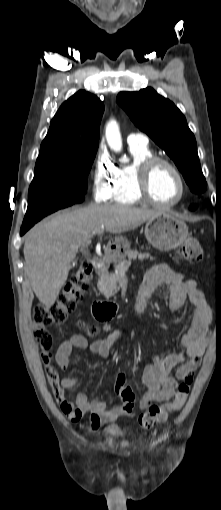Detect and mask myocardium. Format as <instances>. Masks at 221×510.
Masks as SVG:
<instances>
[{
	"mask_svg": "<svg viewBox=\"0 0 221 510\" xmlns=\"http://www.w3.org/2000/svg\"><path fill=\"white\" fill-rule=\"evenodd\" d=\"M159 165H166L167 167H169L177 176L180 184V194L178 198L169 203L158 202L151 195L150 191L151 175L155 168L158 167ZM136 187L138 195L140 196L142 201L158 208H170L178 205L184 200L187 193L186 181L183 177L182 172L176 166V164H174L167 158L155 155L150 156L139 163L136 170Z\"/></svg>",
	"mask_w": 221,
	"mask_h": 510,
	"instance_id": "myocardium-1",
	"label": "myocardium"
}]
</instances>
